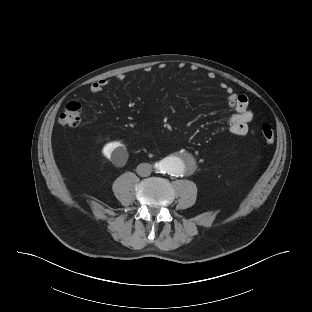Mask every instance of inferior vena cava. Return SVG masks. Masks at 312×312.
Here are the masks:
<instances>
[{
  "label": "inferior vena cava",
  "instance_id": "inferior-vena-cava-1",
  "mask_svg": "<svg viewBox=\"0 0 312 312\" xmlns=\"http://www.w3.org/2000/svg\"><path fill=\"white\" fill-rule=\"evenodd\" d=\"M152 167L148 163H142L137 167V174L141 177H147L151 174Z\"/></svg>",
  "mask_w": 312,
  "mask_h": 312
}]
</instances>
